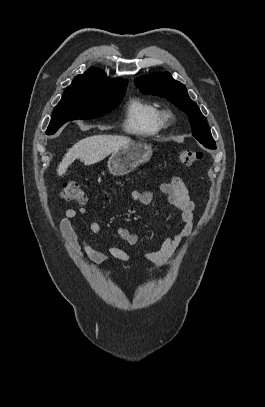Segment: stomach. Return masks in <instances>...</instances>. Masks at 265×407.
I'll list each match as a JSON object with an SVG mask.
<instances>
[{
	"label": "stomach",
	"mask_w": 265,
	"mask_h": 407,
	"mask_svg": "<svg viewBox=\"0 0 265 407\" xmlns=\"http://www.w3.org/2000/svg\"><path fill=\"white\" fill-rule=\"evenodd\" d=\"M151 157V145L145 142L132 141L111 154L108 160V169L114 176H123L140 164L149 161Z\"/></svg>",
	"instance_id": "stomach-1"
}]
</instances>
